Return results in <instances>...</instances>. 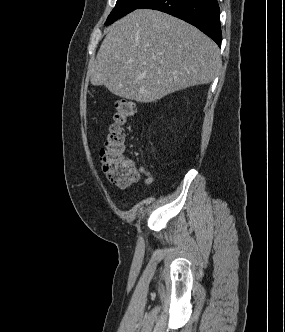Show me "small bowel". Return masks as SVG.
<instances>
[{
	"instance_id": "1",
	"label": "small bowel",
	"mask_w": 285,
	"mask_h": 332,
	"mask_svg": "<svg viewBox=\"0 0 285 332\" xmlns=\"http://www.w3.org/2000/svg\"><path fill=\"white\" fill-rule=\"evenodd\" d=\"M138 167V170L139 172L144 176V183L146 185H149L152 183L153 181V178H152V175L151 173L143 166H137Z\"/></svg>"
}]
</instances>
